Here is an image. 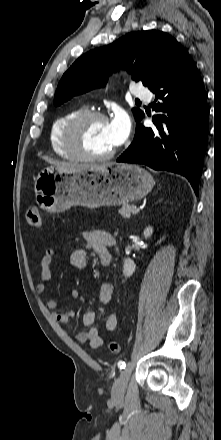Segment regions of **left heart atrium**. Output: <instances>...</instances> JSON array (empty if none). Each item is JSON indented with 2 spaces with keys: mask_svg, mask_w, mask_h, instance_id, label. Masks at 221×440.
I'll use <instances>...</instances> for the list:
<instances>
[{
  "mask_svg": "<svg viewBox=\"0 0 221 440\" xmlns=\"http://www.w3.org/2000/svg\"><path fill=\"white\" fill-rule=\"evenodd\" d=\"M131 129L129 117L124 112H118L109 122V132L112 144L115 146L123 143Z\"/></svg>",
  "mask_w": 221,
  "mask_h": 440,
  "instance_id": "obj_1",
  "label": "left heart atrium"
}]
</instances>
